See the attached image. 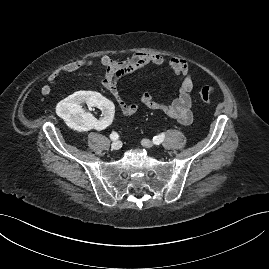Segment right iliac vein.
I'll return each mask as SVG.
<instances>
[{
    "mask_svg": "<svg viewBox=\"0 0 269 269\" xmlns=\"http://www.w3.org/2000/svg\"><path fill=\"white\" fill-rule=\"evenodd\" d=\"M121 147H122V143H121V141H114V142L111 144V148H112L113 150H119Z\"/></svg>",
    "mask_w": 269,
    "mask_h": 269,
    "instance_id": "obj_1",
    "label": "right iliac vein"
}]
</instances>
